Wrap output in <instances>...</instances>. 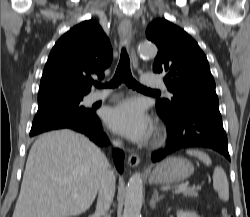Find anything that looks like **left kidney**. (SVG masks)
<instances>
[{
    "instance_id": "left-kidney-1",
    "label": "left kidney",
    "mask_w": 250,
    "mask_h": 217,
    "mask_svg": "<svg viewBox=\"0 0 250 217\" xmlns=\"http://www.w3.org/2000/svg\"><path fill=\"white\" fill-rule=\"evenodd\" d=\"M177 217H199L195 212L178 211Z\"/></svg>"
}]
</instances>
